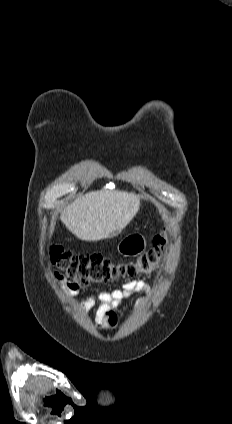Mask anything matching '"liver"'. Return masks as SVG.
<instances>
[{
    "mask_svg": "<svg viewBox=\"0 0 232 424\" xmlns=\"http://www.w3.org/2000/svg\"><path fill=\"white\" fill-rule=\"evenodd\" d=\"M139 207L140 198L133 193L92 191L72 202L60 219L77 238L98 241L124 229Z\"/></svg>",
    "mask_w": 232,
    "mask_h": 424,
    "instance_id": "1",
    "label": "liver"
}]
</instances>
